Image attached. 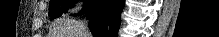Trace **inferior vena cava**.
Masks as SVG:
<instances>
[{
  "instance_id": "602c4592",
  "label": "inferior vena cava",
  "mask_w": 219,
  "mask_h": 37,
  "mask_svg": "<svg viewBox=\"0 0 219 37\" xmlns=\"http://www.w3.org/2000/svg\"><path fill=\"white\" fill-rule=\"evenodd\" d=\"M87 32H88L87 22H84V23H82L80 34L86 36Z\"/></svg>"
}]
</instances>
